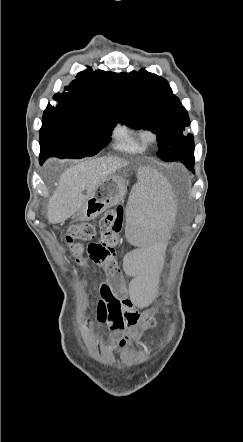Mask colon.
Returning <instances> with one entry per match:
<instances>
[{
  "label": "colon",
  "mask_w": 243,
  "mask_h": 442,
  "mask_svg": "<svg viewBox=\"0 0 243 442\" xmlns=\"http://www.w3.org/2000/svg\"><path fill=\"white\" fill-rule=\"evenodd\" d=\"M123 227V208L117 206L105 213L98 223L82 221L68 227L66 243L77 263H86L85 252L92 260L110 263L115 258L114 248L120 241ZM82 242H88L85 248Z\"/></svg>",
  "instance_id": "colon-1"
}]
</instances>
